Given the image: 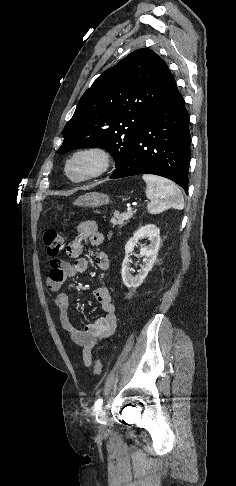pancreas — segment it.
<instances>
[{
  "label": "pancreas",
  "mask_w": 236,
  "mask_h": 486,
  "mask_svg": "<svg viewBox=\"0 0 236 486\" xmlns=\"http://www.w3.org/2000/svg\"><path fill=\"white\" fill-rule=\"evenodd\" d=\"M133 214L134 212L132 211L121 213V214L115 213L110 222L113 224V227L115 225L123 226L126 223V221H128L133 217Z\"/></svg>",
  "instance_id": "pancreas-1"
}]
</instances>
